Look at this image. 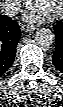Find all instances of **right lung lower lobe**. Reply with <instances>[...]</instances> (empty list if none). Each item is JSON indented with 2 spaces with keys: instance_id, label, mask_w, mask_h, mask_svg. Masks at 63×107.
Wrapping results in <instances>:
<instances>
[{
  "instance_id": "98d812e1",
  "label": "right lung lower lobe",
  "mask_w": 63,
  "mask_h": 107,
  "mask_svg": "<svg viewBox=\"0 0 63 107\" xmlns=\"http://www.w3.org/2000/svg\"><path fill=\"white\" fill-rule=\"evenodd\" d=\"M20 35V28L16 21L0 15V76L10 68L14 61Z\"/></svg>"
}]
</instances>
